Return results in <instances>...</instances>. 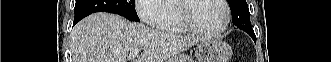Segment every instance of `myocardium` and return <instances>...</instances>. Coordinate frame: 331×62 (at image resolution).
<instances>
[{
    "label": "myocardium",
    "mask_w": 331,
    "mask_h": 62,
    "mask_svg": "<svg viewBox=\"0 0 331 62\" xmlns=\"http://www.w3.org/2000/svg\"><path fill=\"white\" fill-rule=\"evenodd\" d=\"M194 0H179L177 1V6L179 9V16L180 20L183 24V26L190 32L205 36V37H216L221 35L229 26L230 23V9L225 0H218V2L222 5L224 8V21L222 26L215 30V31H207L202 28H200L196 23L193 21V19L190 17L188 13L189 5Z\"/></svg>",
    "instance_id": "1"
}]
</instances>
